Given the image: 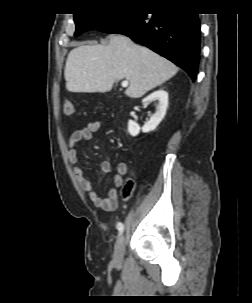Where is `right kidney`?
<instances>
[{"instance_id":"obj_1","label":"right kidney","mask_w":252,"mask_h":303,"mask_svg":"<svg viewBox=\"0 0 252 303\" xmlns=\"http://www.w3.org/2000/svg\"><path fill=\"white\" fill-rule=\"evenodd\" d=\"M158 100V106L156 112L150 117V120L144 124L142 128L140 126L132 121L129 120L128 122V132L131 136H137L140 131L144 133L151 132L156 129V127L160 124V122L163 120L166 109L168 107V93L163 90L159 89L146 98L142 100V103L144 106H146L150 101Z\"/></svg>"}]
</instances>
